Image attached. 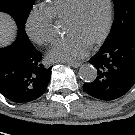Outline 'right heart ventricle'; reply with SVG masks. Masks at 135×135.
Returning <instances> with one entry per match:
<instances>
[{
  "label": "right heart ventricle",
  "instance_id": "e07e8e85",
  "mask_svg": "<svg viewBox=\"0 0 135 135\" xmlns=\"http://www.w3.org/2000/svg\"><path fill=\"white\" fill-rule=\"evenodd\" d=\"M77 0H47L44 11L51 17L52 21H64L71 12Z\"/></svg>",
  "mask_w": 135,
  "mask_h": 135
}]
</instances>
